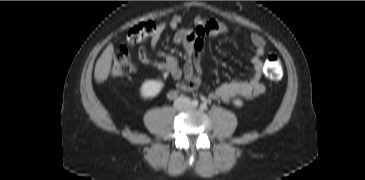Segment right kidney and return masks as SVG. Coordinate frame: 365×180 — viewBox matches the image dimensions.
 Returning <instances> with one entry per match:
<instances>
[{
	"label": "right kidney",
	"mask_w": 365,
	"mask_h": 180,
	"mask_svg": "<svg viewBox=\"0 0 365 180\" xmlns=\"http://www.w3.org/2000/svg\"><path fill=\"white\" fill-rule=\"evenodd\" d=\"M164 87V83L158 80H147L143 82L139 89L140 96L143 99L156 97Z\"/></svg>",
	"instance_id": "obj_1"
}]
</instances>
